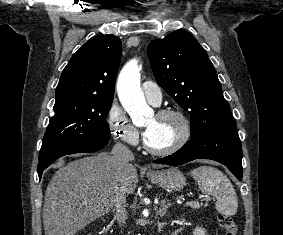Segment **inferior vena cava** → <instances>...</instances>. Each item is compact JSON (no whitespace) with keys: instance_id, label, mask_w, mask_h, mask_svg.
Instances as JSON below:
<instances>
[{"instance_id":"obj_1","label":"inferior vena cava","mask_w":283,"mask_h":235,"mask_svg":"<svg viewBox=\"0 0 283 235\" xmlns=\"http://www.w3.org/2000/svg\"><path fill=\"white\" fill-rule=\"evenodd\" d=\"M112 160L116 165L118 172V185L115 190L114 202L117 208V219L121 226H124L127 219L126 194L127 189L124 184L130 161L134 160V154L124 144L118 142L112 149Z\"/></svg>"}]
</instances>
